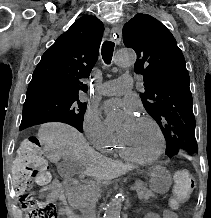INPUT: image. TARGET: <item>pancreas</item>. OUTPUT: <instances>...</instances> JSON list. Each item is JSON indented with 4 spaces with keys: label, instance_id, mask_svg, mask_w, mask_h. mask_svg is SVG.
Segmentation results:
<instances>
[{
    "label": "pancreas",
    "instance_id": "obj_1",
    "mask_svg": "<svg viewBox=\"0 0 211 218\" xmlns=\"http://www.w3.org/2000/svg\"><path fill=\"white\" fill-rule=\"evenodd\" d=\"M133 190H136L138 198L140 200H149L154 196L151 190H147L141 182H136L133 186ZM80 190H71V195H75L70 204L73 208L80 210L83 218H88L90 212L94 210L95 205L99 204L98 200H95L98 197V192L96 191L95 186H80Z\"/></svg>",
    "mask_w": 211,
    "mask_h": 218
}]
</instances>
